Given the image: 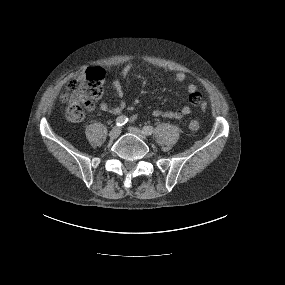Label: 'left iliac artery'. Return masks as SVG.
Masks as SVG:
<instances>
[{"label":"left iliac artery","mask_w":285,"mask_h":285,"mask_svg":"<svg viewBox=\"0 0 285 285\" xmlns=\"http://www.w3.org/2000/svg\"><path fill=\"white\" fill-rule=\"evenodd\" d=\"M154 131V128L152 126H144L142 129V132L146 135H151Z\"/></svg>","instance_id":"obj_1"}]
</instances>
